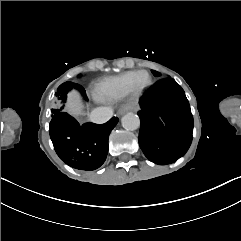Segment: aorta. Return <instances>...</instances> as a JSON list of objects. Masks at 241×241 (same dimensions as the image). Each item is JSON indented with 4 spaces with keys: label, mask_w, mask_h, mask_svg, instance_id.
Segmentation results:
<instances>
[{
    "label": "aorta",
    "mask_w": 241,
    "mask_h": 241,
    "mask_svg": "<svg viewBox=\"0 0 241 241\" xmlns=\"http://www.w3.org/2000/svg\"><path fill=\"white\" fill-rule=\"evenodd\" d=\"M121 123L124 129L133 131L140 127V118L134 113H127L122 117Z\"/></svg>",
    "instance_id": "obj_1"
}]
</instances>
